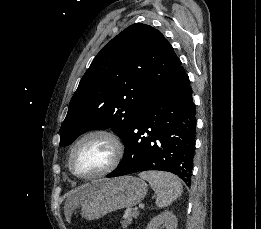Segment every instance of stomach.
<instances>
[{
  "label": "stomach",
  "mask_w": 261,
  "mask_h": 229,
  "mask_svg": "<svg viewBox=\"0 0 261 229\" xmlns=\"http://www.w3.org/2000/svg\"><path fill=\"white\" fill-rule=\"evenodd\" d=\"M90 195L81 205V215L88 221L101 219L107 213L127 209L143 201L147 195L145 181L137 177H117V179H96L85 183Z\"/></svg>",
  "instance_id": "obj_1"
}]
</instances>
